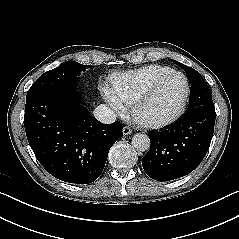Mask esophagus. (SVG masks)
<instances>
[{
  "label": "esophagus",
  "instance_id": "1",
  "mask_svg": "<svg viewBox=\"0 0 239 239\" xmlns=\"http://www.w3.org/2000/svg\"><path fill=\"white\" fill-rule=\"evenodd\" d=\"M131 133H132V130H131L130 127H128V126L123 127V134L124 135H130Z\"/></svg>",
  "mask_w": 239,
  "mask_h": 239
}]
</instances>
